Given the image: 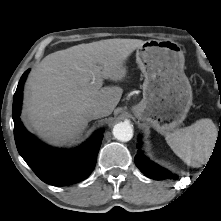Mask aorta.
<instances>
[{"instance_id": "obj_1", "label": "aorta", "mask_w": 221, "mask_h": 221, "mask_svg": "<svg viewBox=\"0 0 221 221\" xmlns=\"http://www.w3.org/2000/svg\"><path fill=\"white\" fill-rule=\"evenodd\" d=\"M112 133L117 140L127 142L133 137V128L127 122H120L114 125Z\"/></svg>"}]
</instances>
